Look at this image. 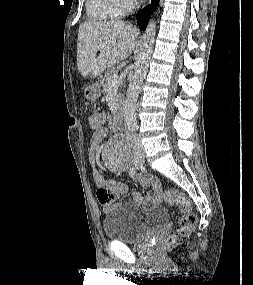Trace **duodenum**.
I'll use <instances>...</instances> for the list:
<instances>
[{"mask_svg": "<svg viewBox=\"0 0 253 285\" xmlns=\"http://www.w3.org/2000/svg\"><path fill=\"white\" fill-rule=\"evenodd\" d=\"M124 121V106L123 105H119V107L117 108V111L115 113L114 116V120H113V126L115 129H118L122 126Z\"/></svg>", "mask_w": 253, "mask_h": 285, "instance_id": "obj_1", "label": "duodenum"}]
</instances>
